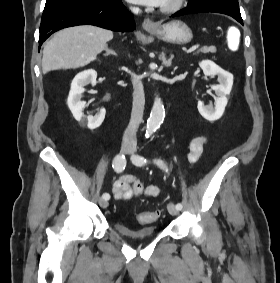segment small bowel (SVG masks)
<instances>
[{
    "label": "small bowel",
    "instance_id": "1",
    "mask_svg": "<svg viewBox=\"0 0 280 283\" xmlns=\"http://www.w3.org/2000/svg\"><path fill=\"white\" fill-rule=\"evenodd\" d=\"M207 139L204 136L195 137L190 143L188 161L196 162L203 152ZM160 193L158 187L150 185L144 186L131 174H123L117 179L112 188V194L116 200H130L134 197L146 196L156 197Z\"/></svg>",
    "mask_w": 280,
    "mask_h": 283
}]
</instances>
